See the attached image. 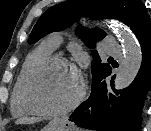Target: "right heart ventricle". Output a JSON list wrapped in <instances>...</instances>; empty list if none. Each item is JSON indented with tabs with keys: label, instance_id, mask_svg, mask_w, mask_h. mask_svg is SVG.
Instances as JSON below:
<instances>
[{
	"label": "right heart ventricle",
	"instance_id": "1",
	"mask_svg": "<svg viewBox=\"0 0 151 131\" xmlns=\"http://www.w3.org/2000/svg\"><path fill=\"white\" fill-rule=\"evenodd\" d=\"M52 52L53 48L48 44V42H43L26 57L11 94L10 109L14 116L22 117L29 114V112L24 108L21 100L23 81L28 69L36 61L51 55Z\"/></svg>",
	"mask_w": 151,
	"mask_h": 131
}]
</instances>
